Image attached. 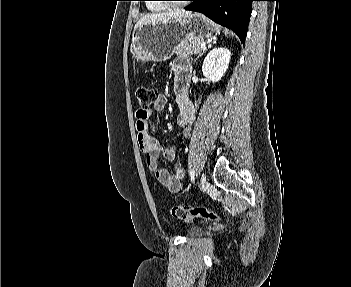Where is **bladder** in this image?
I'll use <instances>...</instances> for the list:
<instances>
[{"label":"bladder","mask_w":351,"mask_h":287,"mask_svg":"<svg viewBox=\"0 0 351 287\" xmlns=\"http://www.w3.org/2000/svg\"><path fill=\"white\" fill-rule=\"evenodd\" d=\"M201 232H202V228L201 227L193 226V227L188 228L187 235H189V236H196V235H198Z\"/></svg>","instance_id":"obj_1"}]
</instances>
